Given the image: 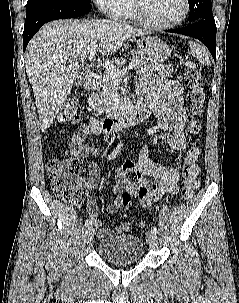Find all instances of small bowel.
Listing matches in <instances>:
<instances>
[{
  "instance_id": "1",
  "label": "small bowel",
  "mask_w": 239,
  "mask_h": 303,
  "mask_svg": "<svg viewBox=\"0 0 239 303\" xmlns=\"http://www.w3.org/2000/svg\"><path fill=\"white\" fill-rule=\"evenodd\" d=\"M140 100L142 105L149 107L157 118V126L149 130V135H154L162 130L171 132L169 146L176 152H183L188 147V138L185 134V112L183 110L181 93L182 86L161 76L151 79H141L139 82ZM89 135H100L103 142L109 140V136L99 127L97 119L92 118L88 123L79 127L68 141L67 154L76 157L81 162L90 155L96 154L98 149L85 143ZM89 177L85 181L88 189L97 187L100 180V170L95 163L88 165ZM134 174L136 181L130 178ZM179 171L152 161L149 157L148 145L145 143L140 150L137 162L127 161L116 169V181L113 186V194L127 190L136 197L143 207H150L155 201L165 194L176 195L179 192ZM120 198H116L107 205L109 213H115L121 208ZM87 212L98 228L99 238L109 241L114 236L127 230L128 224L116 226L113 229L102 227V221L98 219V205L91 196L86 205Z\"/></svg>"
}]
</instances>
